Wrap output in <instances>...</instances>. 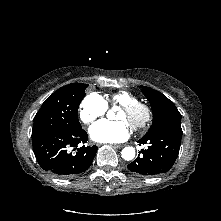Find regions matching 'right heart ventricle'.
Returning a JSON list of instances; mask_svg holds the SVG:
<instances>
[{
	"label": "right heart ventricle",
	"mask_w": 221,
	"mask_h": 221,
	"mask_svg": "<svg viewBox=\"0 0 221 221\" xmlns=\"http://www.w3.org/2000/svg\"><path fill=\"white\" fill-rule=\"evenodd\" d=\"M107 105H127L130 103H134L138 101L136 95L132 94L131 92L120 90L109 94L104 99Z\"/></svg>",
	"instance_id": "obj_1"
}]
</instances>
